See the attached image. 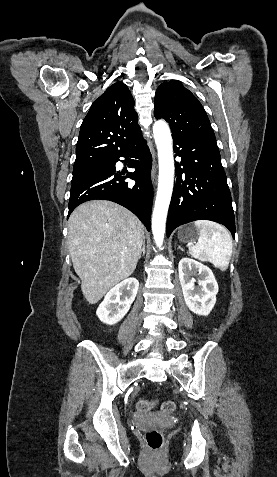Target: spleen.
Wrapping results in <instances>:
<instances>
[{
	"mask_svg": "<svg viewBox=\"0 0 277 477\" xmlns=\"http://www.w3.org/2000/svg\"><path fill=\"white\" fill-rule=\"evenodd\" d=\"M199 231L198 242L189 246V253L200 261H209L221 271H226L232 256V238L221 225L199 220L194 223Z\"/></svg>",
	"mask_w": 277,
	"mask_h": 477,
	"instance_id": "1",
	"label": "spleen"
}]
</instances>
